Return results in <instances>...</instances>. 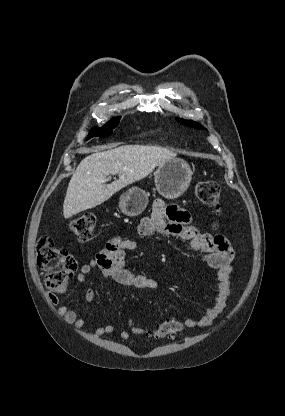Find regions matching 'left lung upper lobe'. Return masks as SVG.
<instances>
[{"instance_id":"obj_1","label":"left lung upper lobe","mask_w":285,"mask_h":416,"mask_svg":"<svg viewBox=\"0 0 285 416\" xmlns=\"http://www.w3.org/2000/svg\"><path fill=\"white\" fill-rule=\"evenodd\" d=\"M180 123L185 124L187 126L190 127H194V128H200V129H205L204 127L200 126L198 123L191 121V120H182V119H177Z\"/></svg>"}]
</instances>
